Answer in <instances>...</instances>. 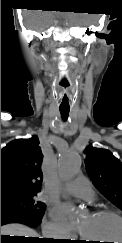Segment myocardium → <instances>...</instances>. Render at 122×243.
<instances>
[{
    "label": "myocardium",
    "instance_id": "f54148a6",
    "mask_svg": "<svg viewBox=\"0 0 122 243\" xmlns=\"http://www.w3.org/2000/svg\"><path fill=\"white\" fill-rule=\"evenodd\" d=\"M91 215L93 216H113L115 218H117L118 220H120V222H122V215L114 210H111V209H97V210H94ZM82 237L83 234H81ZM119 243H122V241H120Z\"/></svg>",
    "mask_w": 122,
    "mask_h": 243
}]
</instances>
